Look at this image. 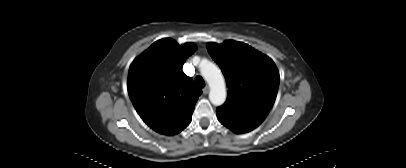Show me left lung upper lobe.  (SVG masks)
Segmentation results:
<instances>
[{
  "label": "left lung upper lobe",
  "mask_w": 406,
  "mask_h": 168,
  "mask_svg": "<svg viewBox=\"0 0 406 168\" xmlns=\"http://www.w3.org/2000/svg\"><path fill=\"white\" fill-rule=\"evenodd\" d=\"M207 49L220 66L228 87L227 100L218 108L263 121L274 104L280 80L274 62L237 41L208 43Z\"/></svg>",
  "instance_id": "5c2ea615"
}]
</instances>
